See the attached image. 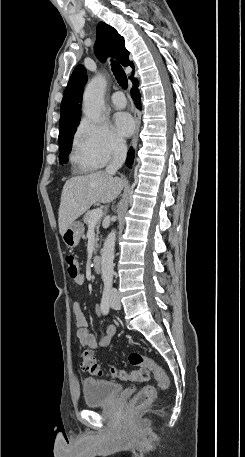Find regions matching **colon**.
<instances>
[{
	"instance_id": "obj_1",
	"label": "colon",
	"mask_w": 245,
	"mask_h": 457,
	"mask_svg": "<svg viewBox=\"0 0 245 457\" xmlns=\"http://www.w3.org/2000/svg\"><path fill=\"white\" fill-rule=\"evenodd\" d=\"M67 270L71 278H75L79 274V266L75 256H66ZM81 367L89 375L101 376L103 371L100 368L95 354L90 349L82 351ZM130 363L137 367V370L127 372L125 370L112 369V374L123 380L146 381L150 373L153 374L159 388L165 389L169 385V379L164 370L149 357L133 353L129 356ZM156 396V389L152 385L142 387L137 394L130 400L129 407L131 410L140 409L149 404Z\"/></svg>"
}]
</instances>
